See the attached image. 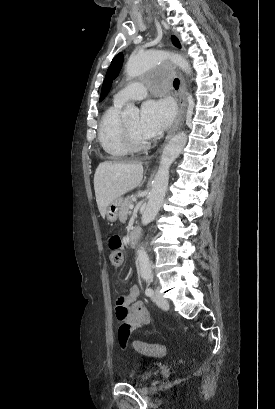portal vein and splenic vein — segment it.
<instances>
[{
    "mask_svg": "<svg viewBox=\"0 0 275 409\" xmlns=\"http://www.w3.org/2000/svg\"><path fill=\"white\" fill-rule=\"evenodd\" d=\"M129 209H134V205H129Z\"/></svg>",
    "mask_w": 275,
    "mask_h": 409,
    "instance_id": "portal-vein-and-splenic-vein-1",
    "label": "portal vein and splenic vein"
}]
</instances>
